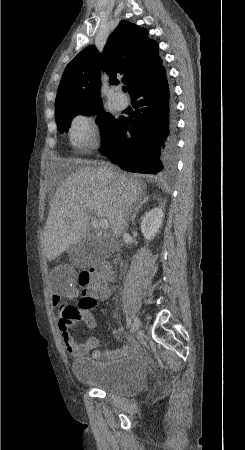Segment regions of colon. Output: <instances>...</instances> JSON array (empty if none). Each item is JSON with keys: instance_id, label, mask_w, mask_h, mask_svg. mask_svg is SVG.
<instances>
[{"instance_id": "obj_1", "label": "colon", "mask_w": 245, "mask_h": 450, "mask_svg": "<svg viewBox=\"0 0 245 450\" xmlns=\"http://www.w3.org/2000/svg\"><path fill=\"white\" fill-rule=\"evenodd\" d=\"M113 276V267L105 262H98L93 267L80 272L77 276V284L84 296L80 303V310H90L95 305L91 297L92 289L95 285L104 287ZM62 323L69 327L81 318L79 310L75 309L71 303L64 304L60 309Z\"/></svg>"}]
</instances>
